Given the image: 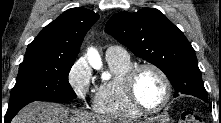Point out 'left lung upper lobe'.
Instances as JSON below:
<instances>
[{"mask_svg": "<svg viewBox=\"0 0 221 123\" xmlns=\"http://www.w3.org/2000/svg\"><path fill=\"white\" fill-rule=\"evenodd\" d=\"M105 29L136 56L161 69L174 87L175 97L182 93L208 101L193 47L159 10L117 13Z\"/></svg>", "mask_w": 221, "mask_h": 123, "instance_id": "5c2ea615", "label": "left lung upper lobe"}]
</instances>
